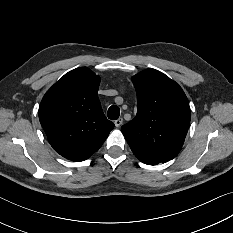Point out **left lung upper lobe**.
I'll return each mask as SVG.
<instances>
[{
	"instance_id": "obj_1",
	"label": "left lung upper lobe",
	"mask_w": 233,
	"mask_h": 233,
	"mask_svg": "<svg viewBox=\"0 0 233 233\" xmlns=\"http://www.w3.org/2000/svg\"><path fill=\"white\" fill-rule=\"evenodd\" d=\"M137 93V115L121 130L131 148L165 161L182 148L190 123V107L182 88L155 69L132 77Z\"/></svg>"
}]
</instances>
